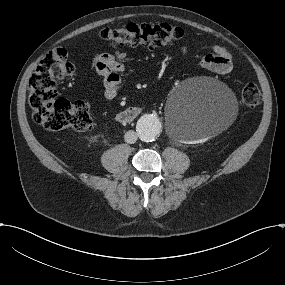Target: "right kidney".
I'll use <instances>...</instances> for the list:
<instances>
[{"label": "right kidney", "mask_w": 285, "mask_h": 285, "mask_svg": "<svg viewBox=\"0 0 285 285\" xmlns=\"http://www.w3.org/2000/svg\"><path fill=\"white\" fill-rule=\"evenodd\" d=\"M98 140V136L97 135H94V136H90L89 139H88V142L90 145H94Z\"/></svg>", "instance_id": "obj_1"}]
</instances>
